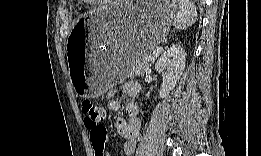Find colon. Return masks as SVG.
Masks as SVG:
<instances>
[{"mask_svg":"<svg viewBox=\"0 0 261 156\" xmlns=\"http://www.w3.org/2000/svg\"><path fill=\"white\" fill-rule=\"evenodd\" d=\"M81 111L84 117V124L90 130L93 149L95 154L99 156L107 138L106 130L102 125L104 109L92 101L85 100L81 103Z\"/></svg>","mask_w":261,"mask_h":156,"instance_id":"colon-1","label":"colon"}]
</instances>
